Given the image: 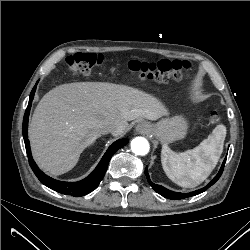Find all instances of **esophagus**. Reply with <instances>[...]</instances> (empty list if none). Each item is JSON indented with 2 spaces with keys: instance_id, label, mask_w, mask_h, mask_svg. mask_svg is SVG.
<instances>
[{
  "instance_id": "1",
  "label": "esophagus",
  "mask_w": 250,
  "mask_h": 250,
  "mask_svg": "<svg viewBox=\"0 0 250 250\" xmlns=\"http://www.w3.org/2000/svg\"><path fill=\"white\" fill-rule=\"evenodd\" d=\"M150 130H151V127L147 122H140L136 126V132L140 134H147L150 132Z\"/></svg>"
}]
</instances>
